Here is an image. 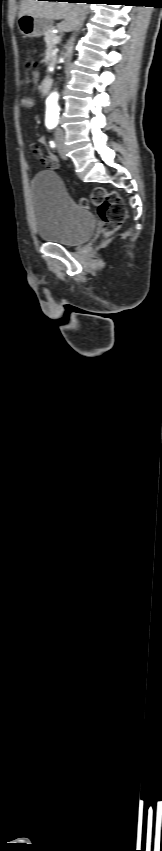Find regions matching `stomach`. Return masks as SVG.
Returning <instances> with one entry per match:
<instances>
[{"mask_svg":"<svg viewBox=\"0 0 162 851\" xmlns=\"http://www.w3.org/2000/svg\"><path fill=\"white\" fill-rule=\"evenodd\" d=\"M17 25L24 37H41L51 29L52 21L26 14L18 17Z\"/></svg>","mask_w":162,"mask_h":851,"instance_id":"stomach-1","label":"stomach"}]
</instances>
